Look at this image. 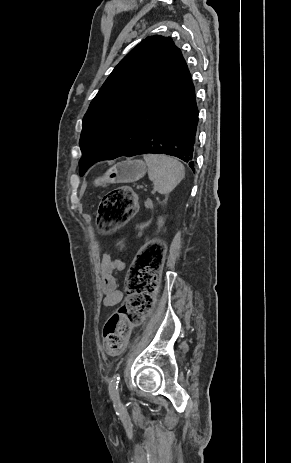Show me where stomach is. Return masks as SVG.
<instances>
[{
  "label": "stomach",
  "mask_w": 291,
  "mask_h": 463,
  "mask_svg": "<svg viewBox=\"0 0 291 463\" xmlns=\"http://www.w3.org/2000/svg\"><path fill=\"white\" fill-rule=\"evenodd\" d=\"M146 173V165L141 160L124 161L112 166L106 173L95 180L96 186L113 183H132L141 179Z\"/></svg>",
  "instance_id": "0dacf381"
}]
</instances>
